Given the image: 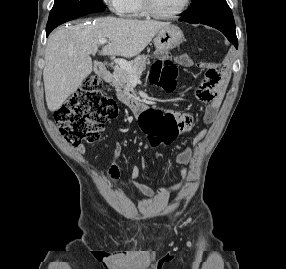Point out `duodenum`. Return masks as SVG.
Listing matches in <instances>:
<instances>
[{
  "label": "duodenum",
  "instance_id": "410a0bca",
  "mask_svg": "<svg viewBox=\"0 0 286 269\" xmlns=\"http://www.w3.org/2000/svg\"><path fill=\"white\" fill-rule=\"evenodd\" d=\"M95 70L104 79V81L109 82L111 80V73L107 69V67L104 63H102V62L97 63L95 65ZM135 108L137 109V111H139L142 108H144V106H142L141 104L136 102Z\"/></svg>",
  "mask_w": 286,
  "mask_h": 269
}]
</instances>
